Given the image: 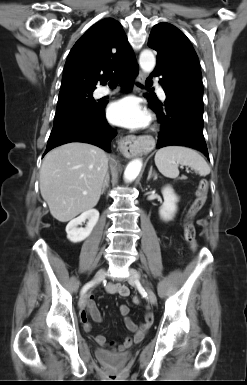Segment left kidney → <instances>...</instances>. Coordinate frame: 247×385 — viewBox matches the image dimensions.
Returning a JSON list of instances; mask_svg holds the SVG:
<instances>
[{"instance_id":"left-kidney-1","label":"left kidney","mask_w":247,"mask_h":385,"mask_svg":"<svg viewBox=\"0 0 247 385\" xmlns=\"http://www.w3.org/2000/svg\"><path fill=\"white\" fill-rule=\"evenodd\" d=\"M162 195L164 202L160 207L159 214L164 221H170L177 211L178 197L170 186H166L162 189Z\"/></svg>"}]
</instances>
